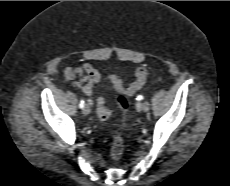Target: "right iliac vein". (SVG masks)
<instances>
[{
	"label": "right iliac vein",
	"instance_id": "obj_1",
	"mask_svg": "<svg viewBox=\"0 0 230 186\" xmlns=\"http://www.w3.org/2000/svg\"><path fill=\"white\" fill-rule=\"evenodd\" d=\"M83 113L85 114V115H88L90 112H91V109H90V106L89 105H85L84 107H83Z\"/></svg>",
	"mask_w": 230,
	"mask_h": 186
}]
</instances>
